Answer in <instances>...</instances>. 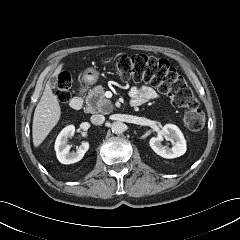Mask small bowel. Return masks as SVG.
Masks as SVG:
<instances>
[{"label":"small bowel","instance_id":"obj_1","mask_svg":"<svg viewBox=\"0 0 240 240\" xmlns=\"http://www.w3.org/2000/svg\"><path fill=\"white\" fill-rule=\"evenodd\" d=\"M132 103L136 107L141 106L158 97V93L150 86L142 85L140 87H132L129 91Z\"/></svg>","mask_w":240,"mask_h":240}]
</instances>
